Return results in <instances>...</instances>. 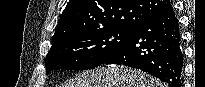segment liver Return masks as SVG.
Wrapping results in <instances>:
<instances>
[{
    "label": "liver",
    "instance_id": "obj_1",
    "mask_svg": "<svg viewBox=\"0 0 205 87\" xmlns=\"http://www.w3.org/2000/svg\"><path fill=\"white\" fill-rule=\"evenodd\" d=\"M64 87H164L159 80L122 66L99 67L76 75Z\"/></svg>",
    "mask_w": 205,
    "mask_h": 87
}]
</instances>
